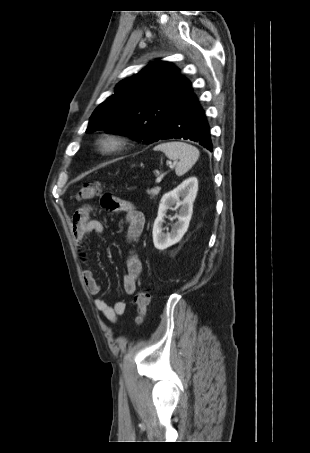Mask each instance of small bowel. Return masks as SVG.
<instances>
[{
    "instance_id": "small-bowel-1",
    "label": "small bowel",
    "mask_w": 310,
    "mask_h": 453,
    "mask_svg": "<svg viewBox=\"0 0 310 453\" xmlns=\"http://www.w3.org/2000/svg\"><path fill=\"white\" fill-rule=\"evenodd\" d=\"M113 200L114 205L109 209L125 214L126 241L130 249L126 258L127 272L123 278V287L127 294L132 295L136 291L137 281L142 271V263L138 257L135 244L143 232L145 217L132 203L120 199ZM92 211V206L84 205L74 213L72 218L73 237L83 261L88 260V254L86 252L88 234L91 232L101 234L104 231L103 224L91 218ZM82 276L89 293L98 295L101 291V286L94 272L90 269H84ZM94 305L97 311L110 322H115L126 310V304L123 301H118L113 306H110L104 299L96 298Z\"/></svg>"
}]
</instances>
